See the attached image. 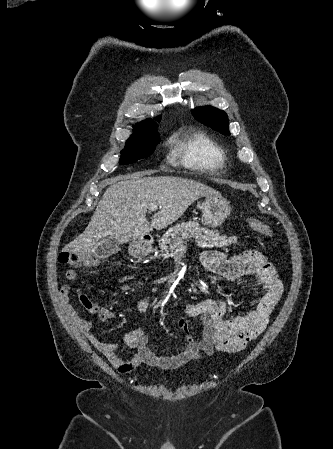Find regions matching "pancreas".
<instances>
[{
	"label": "pancreas",
	"instance_id": "1",
	"mask_svg": "<svg viewBox=\"0 0 333 449\" xmlns=\"http://www.w3.org/2000/svg\"><path fill=\"white\" fill-rule=\"evenodd\" d=\"M195 239V243L202 247L229 246L237 243V237L220 236L218 233L200 228L197 222H182L166 232L159 242L162 253L169 254L185 241Z\"/></svg>",
	"mask_w": 333,
	"mask_h": 449
}]
</instances>
